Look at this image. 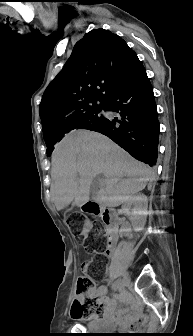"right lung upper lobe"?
I'll use <instances>...</instances> for the list:
<instances>
[{"label": "right lung upper lobe", "mask_w": 193, "mask_h": 336, "mask_svg": "<svg viewBox=\"0 0 193 336\" xmlns=\"http://www.w3.org/2000/svg\"><path fill=\"white\" fill-rule=\"evenodd\" d=\"M138 62L136 53L120 36L105 29L85 34L43 94L40 117L44 140L63 135L81 117L105 108L119 82Z\"/></svg>", "instance_id": "cb5924a9"}]
</instances>
